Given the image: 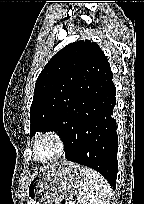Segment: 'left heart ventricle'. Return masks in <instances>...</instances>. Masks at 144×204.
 I'll return each mask as SVG.
<instances>
[{
    "label": "left heart ventricle",
    "instance_id": "obj_1",
    "mask_svg": "<svg viewBox=\"0 0 144 204\" xmlns=\"http://www.w3.org/2000/svg\"><path fill=\"white\" fill-rule=\"evenodd\" d=\"M57 152V147L52 140H44L37 147V156L40 160H48Z\"/></svg>",
    "mask_w": 144,
    "mask_h": 204
}]
</instances>
